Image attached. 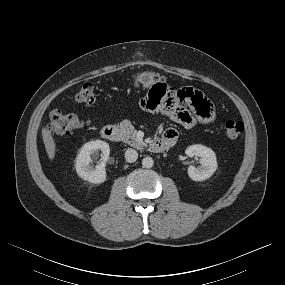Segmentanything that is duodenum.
Returning <instances> with one entry per match:
<instances>
[{
  "instance_id": "duodenum-1",
  "label": "duodenum",
  "mask_w": 285,
  "mask_h": 285,
  "mask_svg": "<svg viewBox=\"0 0 285 285\" xmlns=\"http://www.w3.org/2000/svg\"><path fill=\"white\" fill-rule=\"evenodd\" d=\"M101 135L104 139L108 141L117 142L119 140V129L115 125H105L101 129ZM169 146V142L163 139H156L151 143L150 150L154 153H162Z\"/></svg>"
}]
</instances>
